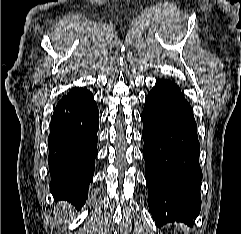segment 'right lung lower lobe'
<instances>
[{
	"instance_id": "right-lung-lower-lobe-1",
	"label": "right lung lower lobe",
	"mask_w": 241,
	"mask_h": 234,
	"mask_svg": "<svg viewBox=\"0 0 241 234\" xmlns=\"http://www.w3.org/2000/svg\"><path fill=\"white\" fill-rule=\"evenodd\" d=\"M98 129V107L86 89L73 88L54 109L48 137L50 191L78 209L94 175Z\"/></svg>"
}]
</instances>
